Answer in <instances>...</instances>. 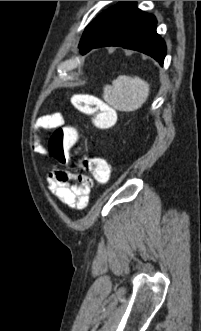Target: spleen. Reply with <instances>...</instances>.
I'll return each mask as SVG.
<instances>
[{
	"label": "spleen",
	"mask_w": 201,
	"mask_h": 331,
	"mask_svg": "<svg viewBox=\"0 0 201 331\" xmlns=\"http://www.w3.org/2000/svg\"><path fill=\"white\" fill-rule=\"evenodd\" d=\"M149 84L135 76H119L104 87V99L115 109L125 112L142 107L149 96Z\"/></svg>",
	"instance_id": "obj_1"
}]
</instances>
